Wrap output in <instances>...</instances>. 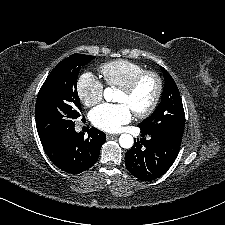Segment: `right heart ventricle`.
I'll use <instances>...</instances> for the list:
<instances>
[{"mask_svg": "<svg viewBox=\"0 0 225 225\" xmlns=\"http://www.w3.org/2000/svg\"><path fill=\"white\" fill-rule=\"evenodd\" d=\"M99 70L109 86L121 88L135 75L145 69L140 64L124 59H118L103 63L100 65Z\"/></svg>", "mask_w": 225, "mask_h": 225, "instance_id": "e07e8e85", "label": "right heart ventricle"}]
</instances>
